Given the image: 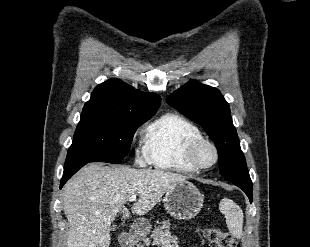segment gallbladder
I'll use <instances>...</instances> for the list:
<instances>
[{
    "mask_svg": "<svg viewBox=\"0 0 310 247\" xmlns=\"http://www.w3.org/2000/svg\"><path fill=\"white\" fill-rule=\"evenodd\" d=\"M112 230H115V227H112Z\"/></svg>",
    "mask_w": 310,
    "mask_h": 247,
    "instance_id": "1",
    "label": "gallbladder"
}]
</instances>
